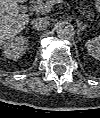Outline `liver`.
I'll use <instances>...</instances> for the list:
<instances>
[{
	"mask_svg": "<svg viewBox=\"0 0 100 118\" xmlns=\"http://www.w3.org/2000/svg\"><path fill=\"white\" fill-rule=\"evenodd\" d=\"M27 0H0V42L4 44L8 39L14 38L28 24V14L20 13L17 2Z\"/></svg>",
	"mask_w": 100,
	"mask_h": 118,
	"instance_id": "liver-1",
	"label": "liver"
}]
</instances>
